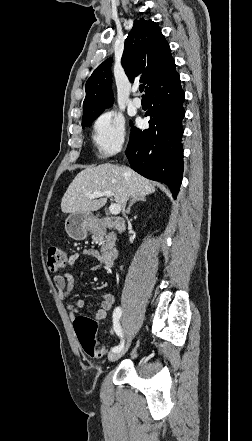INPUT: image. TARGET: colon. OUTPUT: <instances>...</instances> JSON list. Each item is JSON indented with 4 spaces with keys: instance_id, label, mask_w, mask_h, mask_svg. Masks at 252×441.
Here are the masks:
<instances>
[{
    "instance_id": "obj_1",
    "label": "colon",
    "mask_w": 252,
    "mask_h": 441,
    "mask_svg": "<svg viewBox=\"0 0 252 441\" xmlns=\"http://www.w3.org/2000/svg\"><path fill=\"white\" fill-rule=\"evenodd\" d=\"M66 253L58 246H51L47 251V266L52 272L58 271L67 264ZM74 329L78 340L89 356L101 358L104 351L100 349L95 340L97 320L92 317L80 316L74 322Z\"/></svg>"
}]
</instances>
